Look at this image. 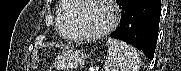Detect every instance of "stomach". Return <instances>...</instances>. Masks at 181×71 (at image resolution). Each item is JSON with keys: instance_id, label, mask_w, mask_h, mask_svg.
<instances>
[{"instance_id": "stomach-1", "label": "stomach", "mask_w": 181, "mask_h": 71, "mask_svg": "<svg viewBox=\"0 0 181 71\" xmlns=\"http://www.w3.org/2000/svg\"><path fill=\"white\" fill-rule=\"evenodd\" d=\"M87 57L88 56L80 50H68L58 56L55 65L60 70L69 71L82 65Z\"/></svg>"}]
</instances>
